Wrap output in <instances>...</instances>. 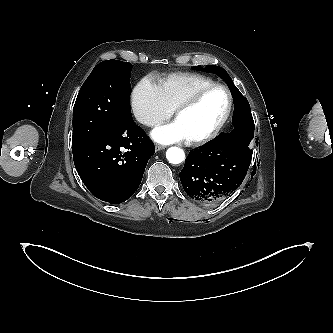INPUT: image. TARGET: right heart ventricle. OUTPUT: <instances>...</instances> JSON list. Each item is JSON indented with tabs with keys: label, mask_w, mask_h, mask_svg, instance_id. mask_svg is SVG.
<instances>
[{
	"label": "right heart ventricle",
	"mask_w": 333,
	"mask_h": 333,
	"mask_svg": "<svg viewBox=\"0 0 333 333\" xmlns=\"http://www.w3.org/2000/svg\"><path fill=\"white\" fill-rule=\"evenodd\" d=\"M213 83L211 78L201 74L174 73L162 79L158 86L165 102L174 111L196 91Z\"/></svg>",
	"instance_id": "e07e8e85"
}]
</instances>
